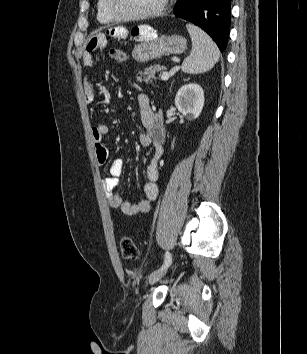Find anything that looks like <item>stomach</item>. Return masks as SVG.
<instances>
[{
  "mask_svg": "<svg viewBox=\"0 0 307 354\" xmlns=\"http://www.w3.org/2000/svg\"><path fill=\"white\" fill-rule=\"evenodd\" d=\"M131 31L134 33L133 39L138 42L132 56L138 62H148L164 55L181 54L186 49L185 38L178 34L157 38L156 31L149 25H140Z\"/></svg>",
  "mask_w": 307,
  "mask_h": 354,
  "instance_id": "obj_1",
  "label": "stomach"
}]
</instances>
